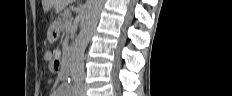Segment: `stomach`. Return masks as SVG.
I'll list each match as a JSON object with an SVG mask.
<instances>
[{
	"label": "stomach",
	"mask_w": 232,
	"mask_h": 96,
	"mask_svg": "<svg viewBox=\"0 0 232 96\" xmlns=\"http://www.w3.org/2000/svg\"><path fill=\"white\" fill-rule=\"evenodd\" d=\"M60 35V25L57 22H54L50 25L49 31H48V41L50 43H54L58 40Z\"/></svg>",
	"instance_id": "1"
}]
</instances>
